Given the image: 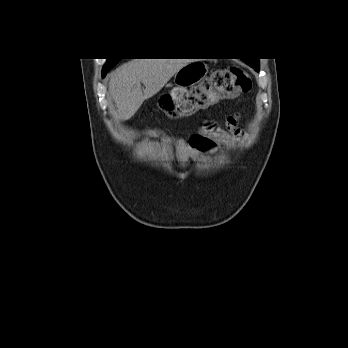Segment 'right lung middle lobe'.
Here are the masks:
<instances>
[{"label":"right lung middle lobe","instance_id":"1","mask_svg":"<svg viewBox=\"0 0 348 348\" xmlns=\"http://www.w3.org/2000/svg\"><path fill=\"white\" fill-rule=\"evenodd\" d=\"M120 59H108V61L106 62V64L103 67V70H109L111 69L113 66L116 65V63L119 61Z\"/></svg>","mask_w":348,"mask_h":348}]
</instances>
